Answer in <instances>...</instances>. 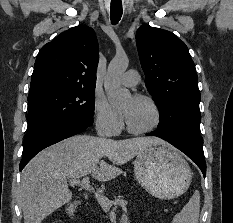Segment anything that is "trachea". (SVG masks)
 <instances>
[{
  "label": "trachea",
  "instance_id": "3493384b",
  "mask_svg": "<svg viewBox=\"0 0 233 223\" xmlns=\"http://www.w3.org/2000/svg\"><path fill=\"white\" fill-rule=\"evenodd\" d=\"M122 16V3L111 2L110 19L113 25H116Z\"/></svg>",
  "mask_w": 233,
  "mask_h": 223
}]
</instances>
